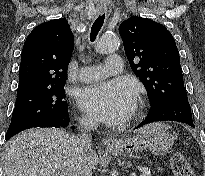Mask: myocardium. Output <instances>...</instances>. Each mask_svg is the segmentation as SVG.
Returning a JSON list of instances; mask_svg holds the SVG:
<instances>
[{
    "mask_svg": "<svg viewBox=\"0 0 205 176\" xmlns=\"http://www.w3.org/2000/svg\"><path fill=\"white\" fill-rule=\"evenodd\" d=\"M140 112H141V104L137 105V107L135 108L134 113H133V117L138 118L140 115Z\"/></svg>",
    "mask_w": 205,
    "mask_h": 176,
    "instance_id": "myocardium-1",
    "label": "myocardium"
}]
</instances>
